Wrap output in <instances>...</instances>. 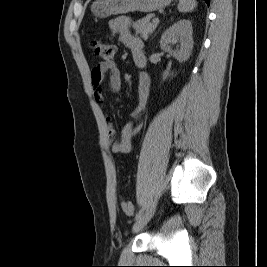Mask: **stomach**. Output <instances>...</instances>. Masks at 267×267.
I'll use <instances>...</instances> for the list:
<instances>
[{
    "instance_id": "0dacf381",
    "label": "stomach",
    "mask_w": 267,
    "mask_h": 267,
    "mask_svg": "<svg viewBox=\"0 0 267 267\" xmlns=\"http://www.w3.org/2000/svg\"><path fill=\"white\" fill-rule=\"evenodd\" d=\"M173 0H97L91 5V12L100 18L133 11L150 13L163 9Z\"/></svg>"
}]
</instances>
